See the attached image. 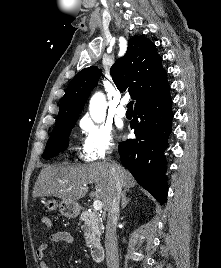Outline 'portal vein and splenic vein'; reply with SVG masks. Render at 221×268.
Wrapping results in <instances>:
<instances>
[{"label":"portal vein and splenic vein","mask_w":221,"mask_h":268,"mask_svg":"<svg viewBox=\"0 0 221 268\" xmlns=\"http://www.w3.org/2000/svg\"><path fill=\"white\" fill-rule=\"evenodd\" d=\"M102 207H103L102 201H100V200H95V201L93 202V209H94L95 211H100V210L102 209Z\"/></svg>","instance_id":"18ae733b"}]
</instances>
